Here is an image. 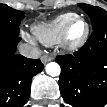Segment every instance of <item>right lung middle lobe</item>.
Returning a JSON list of instances; mask_svg holds the SVG:
<instances>
[{
	"mask_svg": "<svg viewBox=\"0 0 107 107\" xmlns=\"http://www.w3.org/2000/svg\"><path fill=\"white\" fill-rule=\"evenodd\" d=\"M24 13L8 5L0 4V36H18Z\"/></svg>",
	"mask_w": 107,
	"mask_h": 107,
	"instance_id": "obj_1",
	"label": "right lung middle lobe"
}]
</instances>
